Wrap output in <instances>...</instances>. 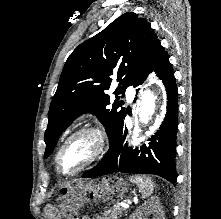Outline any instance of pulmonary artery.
I'll return each mask as SVG.
<instances>
[{"label":"pulmonary artery","mask_w":221,"mask_h":219,"mask_svg":"<svg viewBox=\"0 0 221 219\" xmlns=\"http://www.w3.org/2000/svg\"><path fill=\"white\" fill-rule=\"evenodd\" d=\"M126 94H127V96H128L129 99L132 98V96H133V91H132V89H131L130 87H127V89H126Z\"/></svg>","instance_id":"pulmonary-artery-1"}]
</instances>
